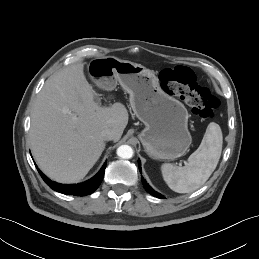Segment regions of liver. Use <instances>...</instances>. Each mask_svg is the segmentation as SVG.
Listing matches in <instances>:
<instances>
[{
  "label": "liver",
  "mask_w": 259,
  "mask_h": 259,
  "mask_svg": "<svg viewBox=\"0 0 259 259\" xmlns=\"http://www.w3.org/2000/svg\"><path fill=\"white\" fill-rule=\"evenodd\" d=\"M82 63L47 79L31 113L32 154L39 168L60 183L82 180L105 149L102 131L112 129L118 141L128 124L121 103L100 107Z\"/></svg>",
  "instance_id": "liver-1"
}]
</instances>
